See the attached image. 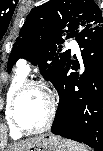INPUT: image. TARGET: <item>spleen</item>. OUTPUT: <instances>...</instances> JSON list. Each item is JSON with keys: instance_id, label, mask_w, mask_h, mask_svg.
Listing matches in <instances>:
<instances>
[{"instance_id": "spleen-1", "label": "spleen", "mask_w": 103, "mask_h": 151, "mask_svg": "<svg viewBox=\"0 0 103 151\" xmlns=\"http://www.w3.org/2000/svg\"><path fill=\"white\" fill-rule=\"evenodd\" d=\"M63 141L66 144L68 151H88L87 148L80 143L68 139H63Z\"/></svg>"}]
</instances>
